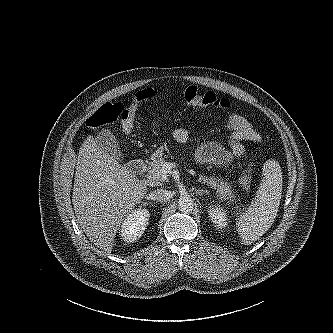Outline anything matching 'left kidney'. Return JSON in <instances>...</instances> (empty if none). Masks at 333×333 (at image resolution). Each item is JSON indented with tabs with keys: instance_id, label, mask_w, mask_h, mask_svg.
Here are the masks:
<instances>
[{
	"instance_id": "obj_1",
	"label": "left kidney",
	"mask_w": 333,
	"mask_h": 333,
	"mask_svg": "<svg viewBox=\"0 0 333 333\" xmlns=\"http://www.w3.org/2000/svg\"><path fill=\"white\" fill-rule=\"evenodd\" d=\"M208 215L218 229H224L228 225L227 213L222 207L210 206Z\"/></svg>"
}]
</instances>
